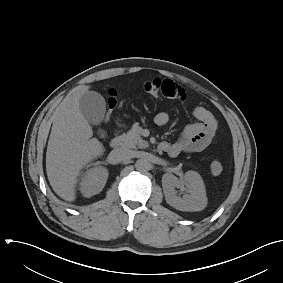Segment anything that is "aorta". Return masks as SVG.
I'll use <instances>...</instances> for the list:
<instances>
[{
    "mask_svg": "<svg viewBox=\"0 0 283 283\" xmlns=\"http://www.w3.org/2000/svg\"><path fill=\"white\" fill-rule=\"evenodd\" d=\"M150 163L146 159H138L135 163V168L136 170L143 172L147 171L149 169Z\"/></svg>",
    "mask_w": 283,
    "mask_h": 283,
    "instance_id": "obj_1",
    "label": "aorta"
}]
</instances>
